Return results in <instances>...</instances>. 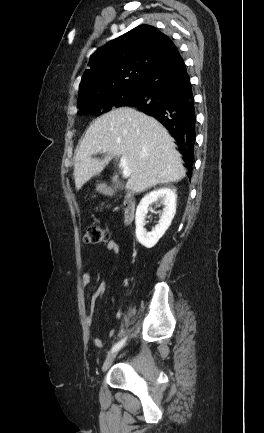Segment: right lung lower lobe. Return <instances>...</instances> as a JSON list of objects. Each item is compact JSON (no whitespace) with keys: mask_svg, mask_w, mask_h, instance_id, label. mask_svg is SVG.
<instances>
[{"mask_svg":"<svg viewBox=\"0 0 264 433\" xmlns=\"http://www.w3.org/2000/svg\"><path fill=\"white\" fill-rule=\"evenodd\" d=\"M140 92L122 106L134 107L161 122L177 140L192 169L195 141V108L192 86L178 50L141 84ZM191 177V172L188 173Z\"/></svg>","mask_w":264,"mask_h":433,"instance_id":"obj_1","label":"right lung lower lobe"}]
</instances>
